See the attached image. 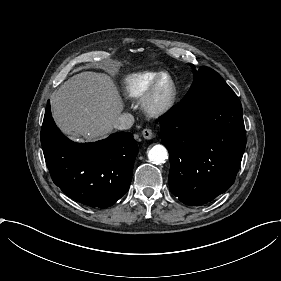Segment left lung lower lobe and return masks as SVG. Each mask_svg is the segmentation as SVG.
<instances>
[{"label": "left lung lower lobe", "mask_w": 281, "mask_h": 281, "mask_svg": "<svg viewBox=\"0 0 281 281\" xmlns=\"http://www.w3.org/2000/svg\"><path fill=\"white\" fill-rule=\"evenodd\" d=\"M159 122L170 157L169 187L180 201L199 206L233 184L246 145L236 94L180 102Z\"/></svg>", "instance_id": "obj_1"}]
</instances>
